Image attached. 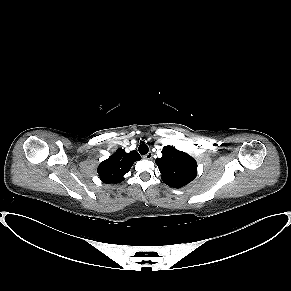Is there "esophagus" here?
<instances>
[{
  "label": "esophagus",
  "mask_w": 291,
  "mask_h": 291,
  "mask_svg": "<svg viewBox=\"0 0 291 291\" xmlns=\"http://www.w3.org/2000/svg\"><path fill=\"white\" fill-rule=\"evenodd\" d=\"M143 157L147 160H151L153 158V154H152V152H149V153L145 154Z\"/></svg>",
  "instance_id": "obj_1"
}]
</instances>
